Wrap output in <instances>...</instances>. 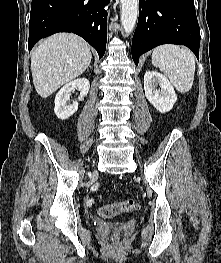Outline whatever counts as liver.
<instances>
[{"label":"liver","instance_id":"1","mask_svg":"<svg viewBox=\"0 0 221 263\" xmlns=\"http://www.w3.org/2000/svg\"><path fill=\"white\" fill-rule=\"evenodd\" d=\"M92 59L88 43L72 33L45 39L31 54L33 84L47 98L64 84L85 72Z\"/></svg>","mask_w":221,"mask_h":263}]
</instances>
